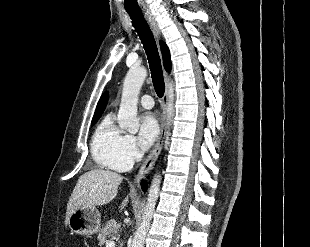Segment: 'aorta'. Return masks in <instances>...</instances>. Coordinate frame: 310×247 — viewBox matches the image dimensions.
Listing matches in <instances>:
<instances>
[{
    "instance_id": "aorta-1",
    "label": "aorta",
    "mask_w": 310,
    "mask_h": 247,
    "mask_svg": "<svg viewBox=\"0 0 310 247\" xmlns=\"http://www.w3.org/2000/svg\"><path fill=\"white\" fill-rule=\"evenodd\" d=\"M146 77L147 70L145 68L134 67L128 71L123 83L117 121L120 128L133 134L138 131L140 126L139 119L137 117L138 95ZM160 183L161 176L156 174L153 177L148 191L144 214L142 216L141 223L134 234L132 247H144L145 238L154 214L156 202L158 200Z\"/></svg>"
}]
</instances>
